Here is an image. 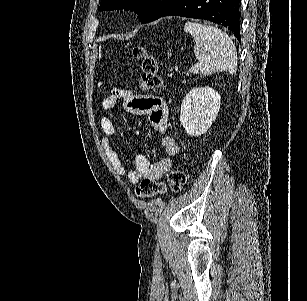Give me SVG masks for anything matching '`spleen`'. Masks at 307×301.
Returning <instances> with one entry per match:
<instances>
[{"mask_svg": "<svg viewBox=\"0 0 307 301\" xmlns=\"http://www.w3.org/2000/svg\"><path fill=\"white\" fill-rule=\"evenodd\" d=\"M184 30L192 34L195 40L194 54L198 58L199 70L203 76L214 72H229L234 74L237 70L236 46L223 30L210 24L200 22H185Z\"/></svg>", "mask_w": 307, "mask_h": 301, "instance_id": "1", "label": "spleen"}]
</instances>
